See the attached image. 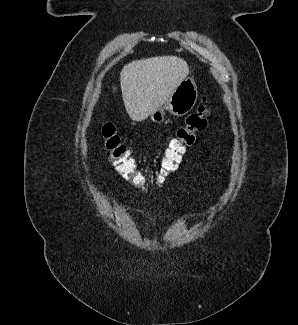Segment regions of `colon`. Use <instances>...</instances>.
Instances as JSON below:
<instances>
[{
  "mask_svg": "<svg viewBox=\"0 0 298 325\" xmlns=\"http://www.w3.org/2000/svg\"><path fill=\"white\" fill-rule=\"evenodd\" d=\"M210 114V106L204 98L196 112L190 114L184 125L177 129L163 151L157 173L160 183H163L177 169L186 148L194 143L195 134L206 128ZM101 133L104 148L118 173L137 189L145 190L148 186L147 179L130 150L122 143L116 127L112 123H103Z\"/></svg>",
  "mask_w": 298,
  "mask_h": 325,
  "instance_id": "obj_1",
  "label": "colon"
}]
</instances>
